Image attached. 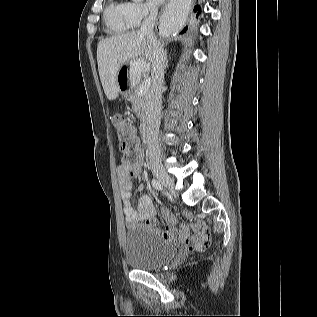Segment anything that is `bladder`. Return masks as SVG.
<instances>
[{
    "instance_id": "31cf9c89",
    "label": "bladder",
    "mask_w": 317,
    "mask_h": 317,
    "mask_svg": "<svg viewBox=\"0 0 317 317\" xmlns=\"http://www.w3.org/2000/svg\"><path fill=\"white\" fill-rule=\"evenodd\" d=\"M179 254V247L163 242L149 233L146 228H130L124 237L126 263L137 270L162 268Z\"/></svg>"
}]
</instances>
